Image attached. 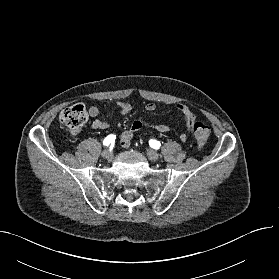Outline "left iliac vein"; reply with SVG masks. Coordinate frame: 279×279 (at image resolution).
Instances as JSON below:
<instances>
[{"instance_id": "left-iliac-vein-1", "label": "left iliac vein", "mask_w": 279, "mask_h": 279, "mask_svg": "<svg viewBox=\"0 0 279 279\" xmlns=\"http://www.w3.org/2000/svg\"><path fill=\"white\" fill-rule=\"evenodd\" d=\"M146 154L151 161H157L159 159V154L154 150H147Z\"/></svg>"}]
</instances>
